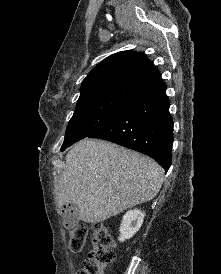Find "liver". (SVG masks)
Instances as JSON below:
<instances>
[{
  "label": "liver",
  "mask_w": 221,
  "mask_h": 274,
  "mask_svg": "<svg viewBox=\"0 0 221 274\" xmlns=\"http://www.w3.org/2000/svg\"><path fill=\"white\" fill-rule=\"evenodd\" d=\"M164 171L152 159L103 140L84 139L67 153L55 190L59 208L72 203L79 219L102 222L152 200Z\"/></svg>",
  "instance_id": "obj_1"
}]
</instances>
